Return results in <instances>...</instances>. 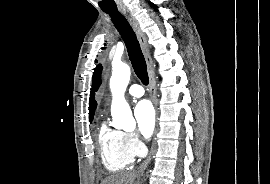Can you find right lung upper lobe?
Segmentation results:
<instances>
[{
	"label": "right lung upper lobe",
	"mask_w": 270,
	"mask_h": 184,
	"mask_svg": "<svg viewBox=\"0 0 270 184\" xmlns=\"http://www.w3.org/2000/svg\"><path fill=\"white\" fill-rule=\"evenodd\" d=\"M101 71H102V66L98 65L94 69V73H93V81H92V88H91L90 101H89V120H93L94 112L97 107V102L95 101L94 96H95V92L98 90L101 84Z\"/></svg>",
	"instance_id": "1"
}]
</instances>
